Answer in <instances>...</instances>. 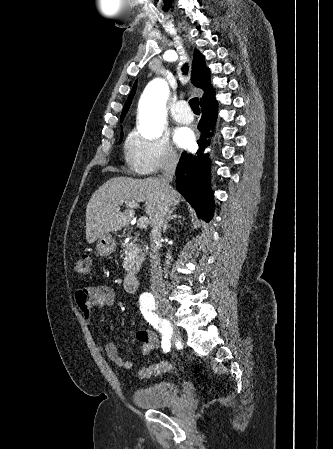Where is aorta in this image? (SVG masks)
Segmentation results:
<instances>
[{"label":"aorta","instance_id":"1","mask_svg":"<svg viewBox=\"0 0 333 449\" xmlns=\"http://www.w3.org/2000/svg\"><path fill=\"white\" fill-rule=\"evenodd\" d=\"M168 95V84L162 79H154L145 88L139 103V129L145 138L162 135Z\"/></svg>","mask_w":333,"mask_h":449}]
</instances>
